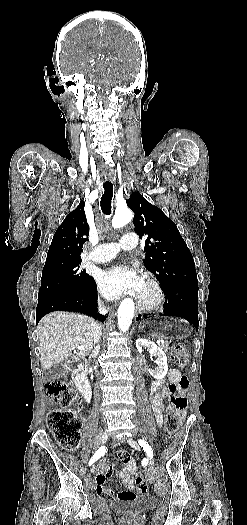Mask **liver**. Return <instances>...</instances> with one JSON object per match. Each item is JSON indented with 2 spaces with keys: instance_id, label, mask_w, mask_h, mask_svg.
Wrapping results in <instances>:
<instances>
[{
  "instance_id": "1",
  "label": "liver",
  "mask_w": 247,
  "mask_h": 525,
  "mask_svg": "<svg viewBox=\"0 0 247 525\" xmlns=\"http://www.w3.org/2000/svg\"><path fill=\"white\" fill-rule=\"evenodd\" d=\"M95 325L92 317L80 313L53 311L45 315L37 327L43 371L67 359L79 361L90 355ZM75 347H84V351L77 349V353Z\"/></svg>"
}]
</instances>
